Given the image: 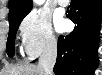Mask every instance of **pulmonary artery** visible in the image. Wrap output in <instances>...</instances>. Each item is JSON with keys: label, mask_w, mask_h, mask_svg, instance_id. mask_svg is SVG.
I'll list each match as a JSON object with an SVG mask.
<instances>
[{"label": "pulmonary artery", "mask_w": 102, "mask_h": 75, "mask_svg": "<svg viewBox=\"0 0 102 75\" xmlns=\"http://www.w3.org/2000/svg\"><path fill=\"white\" fill-rule=\"evenodd\" d=\"M58 2L63 5L66 4V0H59Z\"/></svg>", "instance_id": "1"}]
</instances>
